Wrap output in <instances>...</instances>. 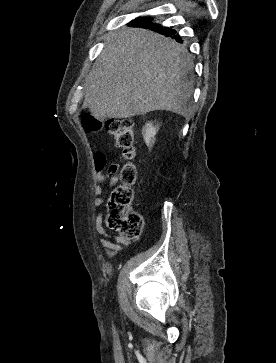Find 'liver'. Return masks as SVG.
<instances>
[{"label": "liver", "mask_w": 276, "mask_h": 363, "mask_svg": "<svg viewBox=\"0 0 276 363\" xmlns=\"http://www.w3.org/2000/svg\"><path fill=\"white\" fill-rule=\"evenodd\" d=\"M194 68L187 49L142 28L111 34L86 81L82 108L96 119L130 118L155 110L190 117Z\"/></svg>", "instance_id": "obj_1"}]
</instances>
